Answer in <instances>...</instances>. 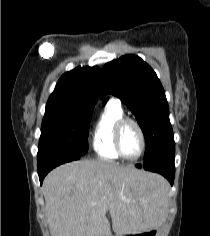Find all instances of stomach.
<instances>
[{
  "label": "stomach",
  "instance_id": "obj_1",
  "mask_svg": "<svg viewBox=\"0 0 210 236\" xmlns=\"http://www.w3.org/2000/svg\"><path fill=\"white\" fill-rule=\"evenodd\" d=\"M159 225H155L145 231L127 234L126 236H159Z\"/></svg>",
  "mask_w": 210,
  "mask_h": 236
}]
</instances>
